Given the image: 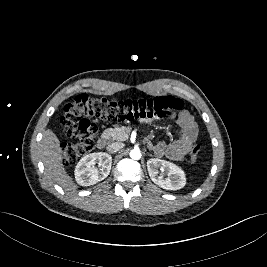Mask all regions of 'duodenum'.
Here are the masks:
<instances>
[{
	"instance_id": "obj_1",
	"label": "duodenum",
	"mask_w": 267,
	"mask_h": 267,
	"mask_svg": "<svg viewBox=\"0 0 267 267\" xmlns=\"http://www.w3.org/2000/svg\"><path fill=\"white\" fill-rule=\"evenodd\" d=\"M107 145V138L106 137H100L96 143V146L98 149H104Z\"/></svg>"
}]
</instances>
